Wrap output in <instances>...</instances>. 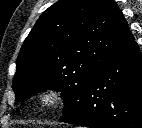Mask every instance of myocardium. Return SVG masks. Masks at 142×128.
I'll use <instances>...</instances> for the list:
<instances>
[{"label": "myocardium", "mask_w": 142, "mask_h": 128, "mask_svg": "<svg viewBox=\"0 0 142 128\" xmlns=\"http://www.w3.org/2000/svg\"><path fill=\"white\" fill-rule=\"evenodd\" d=\"M63 101L62 91L56 86L46 87L39 96L40 105L47 110L57 108Z\"/></svg>", "instance_id": "1"}]
</instances>
